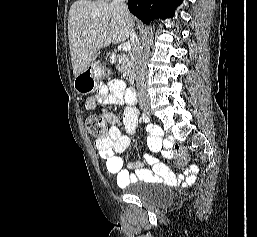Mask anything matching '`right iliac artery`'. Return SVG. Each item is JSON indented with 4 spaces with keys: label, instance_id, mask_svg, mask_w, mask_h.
<instances>
[{
    "label": "right iliac artery",
    "instance_id": "right-iliac-artery-1",
    "mask_svg": "<svg viewBox=\"0 0 257 237\" xmlns=\"http://www.w3.org/2000/svg\"><path fill=\"white\" fill-rule=\"evenodd\" d=\"M142 119H143L144 122H146V123H148V122L150 121L149 117H148L145 113L142 114Z\"/></svg>",
    "mask_w": 257,
    "mask_h": 237
}]
</instances>
